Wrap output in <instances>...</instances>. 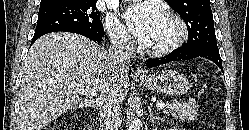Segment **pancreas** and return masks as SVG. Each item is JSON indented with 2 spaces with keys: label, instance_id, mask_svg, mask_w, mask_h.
I'll list each match as a JSON object with an SVG mask.
<instances>
[{
  "label": "pancreas",
  "instance_id": "cf45deb5",
  "mask_svg": "<svg viewBox=\"0 0 249 130\" xmlns=\"http://www.w3.org/2000/svg\"><path fill=\"white\" fill-rule=\"evenodd\" d=\"M194 101H189L188 103H181L173 101L168 103L163 110L166 115H172L174 118L195 120L197 118V108Z\"/></svg>",
  "mask_w": 249,
  "mask_h": 130
}]
</instances>
